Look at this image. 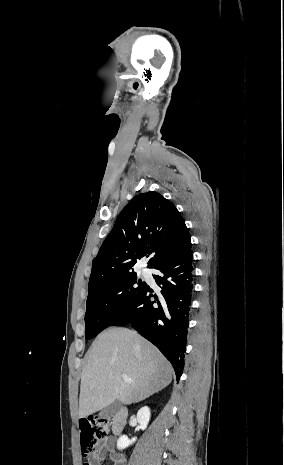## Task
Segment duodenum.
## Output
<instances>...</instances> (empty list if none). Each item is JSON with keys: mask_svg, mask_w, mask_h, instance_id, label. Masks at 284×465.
<instances>
[{"mask_svg": "<svg viewBox=\"0 0 284 465\" xmlns=\"http://www.w3.org/2000/svg\"><path fill=\"white\" fill-rule=\"evenodd\" d=\"M128 417V410L125 407H119L114 410L112 415V434L119 436L123 432Z\"/></svg>", "mask_w": 284, "mask_h": 465, "instance_id": "obj_1", "label": "duodenum"}]
</instances>
